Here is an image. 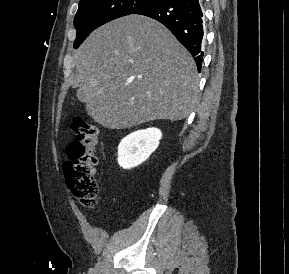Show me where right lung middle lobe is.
<instances>
[{
    "instance_id": "right-lung-middle-lobe-1",
    "label": "right lung middle lobe",
    "mask_w": 289,
    "mask_h": 274,
    "mask_svg": "<svg viewBox=\"0 0 289 274\" xmlns=\"http://www.w3.org/2000/svg\"><path fill=\"white\" fill-rule=\"evenodd\" d=\"M157 0H80L74 18L77 49L90 32L114 19L134 14Z\"/></svg>"
}]
</instances>
